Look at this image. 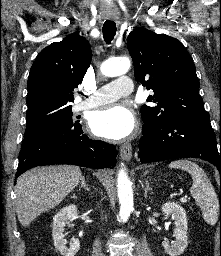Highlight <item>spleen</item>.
<instances>
[{
  "instance_id": "spleen-1",
  "label": "spleen",
  "mask_w": 221,
  "mask_h": 256,
  "mask_svg": "<svg viewBox=\"0 0 221 256\" xmlns=\"http://www.w3.org/2000/svg\"><path fill=\"white\" fill-rule=\"evenodd\" d=\"M169 167L182 169L191 174L193 183L190 193L200 207L204 220L210 225H215L219 216V200L203 169L189 160L173 161Z\"/></svg>"
}]
</instances>
